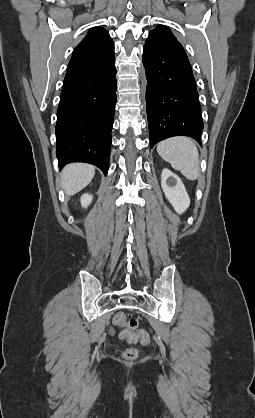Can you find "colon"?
Segmentation results:
<instances>
[{
	"label": "colon",
	"mask_w": 255,
	"mask_h": 418,
	"mask_svg": "<svg viewBox=\"0 0 255 418\" xmlns=\"http://www.w3.org/2000/svg\"><path fill=\"white\" fill-rule=\"evenodd\" d=\"M115 326L121 328L120 337L129 342H141L147 344L149 342V335L146 331H137L138 322L136 319H127L123 312H117L113 317ZM138 355L137 349L134 347L126 348L123 351V357L127 360H134Z\"/></svg>",
	"instance_id": "5ec220e1"
}]
</instances>
